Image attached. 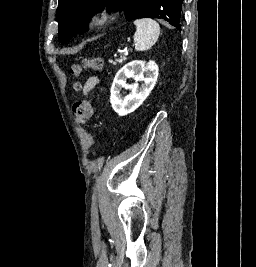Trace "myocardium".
I'll use <instances>...</instances> for the list:
<instances>
[{"label": "myocardium", "instance_id": "1", "mask_svg": "<svg viewBox=\"0 0 256 267\" xmlns=\"http://www.w3.org/2000/svg\"><path fill=\"white\" fill-rule=\"evenodd\" d=\"M110 18L111 13L109 11H100L91 17L89 25L94 29L101 28L109 22Z\"/></svg>", "mask_w": 256, "mask_h": 267}]
</instances>
